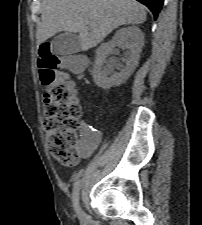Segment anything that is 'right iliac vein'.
Masks as SVG:
<instances>
[{
  "instance_id": "63e3f726",
  "label": "right iliac vein",
  "mask_w": 202,
  "mask_h": 225,
  "mask_svg": "<svg viewBox=\"0 0 202 225\" xmlns=\"http://www.w3.org/2000/svg\"><path fill=\"white\" fill-rule=\"evenodd\" d=\"M78 216L81 221H84L86 219V214L81 208H79Z\"/></svg>"
}]
</instances>
